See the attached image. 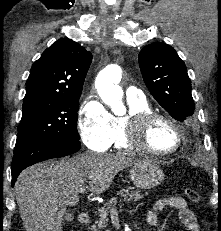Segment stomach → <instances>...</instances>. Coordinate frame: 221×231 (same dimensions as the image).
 <instances>
[{"instance_id":"stomach-1","label":"stomach","mask_w":221,"mask_h":231,"mask_svg":"<svg viewBox=\"0 0 221 231\" xmlns=\"http://www.w3.org/2000/svg\"><path fill=\"white\" fill-rule=\"evenodd\" d=\"M129 177L136 187L151 189L161 184L164 172L154 161L141 160L129 170Z\"/></svg>"}]
</instances>
